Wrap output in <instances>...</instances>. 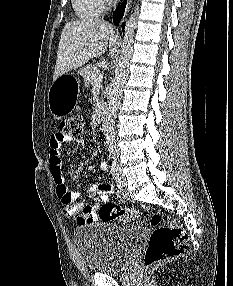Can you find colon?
<instances>
[{"instance_id":"1","label":"colon","mask_w":233,"mask_h":286,"mask_svg":"<svg viewBox=\"0 0 233 286\" xmlns=\"http://www.w3.org/2000/svg\"><path fill=\"white\" fill-rule=\"evenodd\" d=\"M84 120L75 115L60 122L57 134L61 138L79 139L83 131ZM98 218L104 221L129 222L137 218L135 210L124 209L112 203L105 202L95 209ZM148 221L153 227L148 247L144 255V263L147 267L158 265L181 253L188 244V236L185 230L175 222L162 224L159 214L148 216Z\"/></svg>"}]
</instances>
